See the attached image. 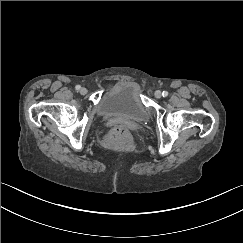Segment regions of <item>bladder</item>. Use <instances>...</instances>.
<instances>
[{
  "instance_id": "bladder-1",
  "label": "bladder",
  "mask_w": 243,
  "mask_h": 243,
  "mask_svg": "<svg viewBox=\"0 0 243 243\" xmlns=\"http://www.w3.org/2000/svg\"><path fill=\"white\" fill-rule=\"evenodd\" d=\"M96 111L105 118L145 122L149 112L141 99V87L135 81H120L105 92L96 105Z\"/></svg>"
}]
</instances>
